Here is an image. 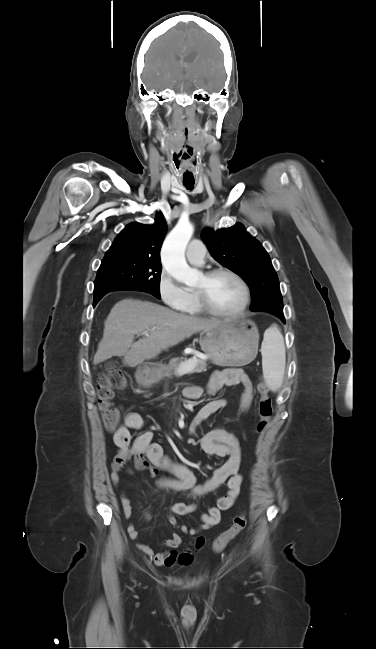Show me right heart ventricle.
I'll return each mask as SVG.
<instances>
[{
    "mask_svg": "<svg viewBox=\"0 0 376 649\" xmlns=\"http://www.w3.org/2000/svg\"><path fill=\"white\" fill-rule=\"evenodd\" d=\"M187 291V299L183 306L180 308L181 311L185 314L189 315H200L204 313V310L201 308L198 299L195 294V290L188 289Z\"/></svg>",
    "mask_w": 376,
    "mask_h": 649,
    "instance_id": "obj_1",
    "label": "right heart ventricle"
}]
</instances>
